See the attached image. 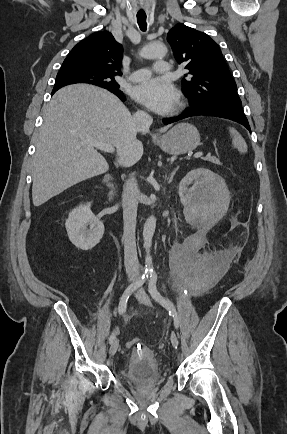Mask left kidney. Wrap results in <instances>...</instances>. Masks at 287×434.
<instances>
[{"mask_svg": "<svg viewBox=\"0 0 287 434\" xmlns=\"http://www.w3.org/2000/svg\"><path fill=\"white\" fill-rule=\"evenodd\" d=\"M191 188H188L190 184ZM180 201L196 211H208L210 219L217 221L225 214L230 193L223 178L209 169L190 171L179 184Z\"/></svg>", "mask_w": 287, "mask_h": 434, "instance_id": "left-kidney-1", "label": "left kidney"}]
</instances>
